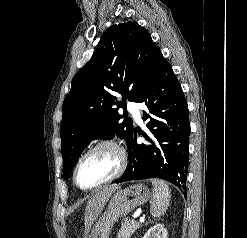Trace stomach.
I'll return each instance as SVG.
<instances>
[{"instance_id":"obj_1","label":"stomach","mask_w":247,"mask_h":238,"mask_svg":"<svg viewBox=\"0 0 247 238\" xmlns=\"http://www.w3.org/2000/svg\"><path fill=\"white\" fill-rule=\"evenodd\" d=\"M150 190L143 184L119 189L111 198L107 209L92 228L89 238H109L114 223L150 198Z\"/></svg>"}]
</instances>
